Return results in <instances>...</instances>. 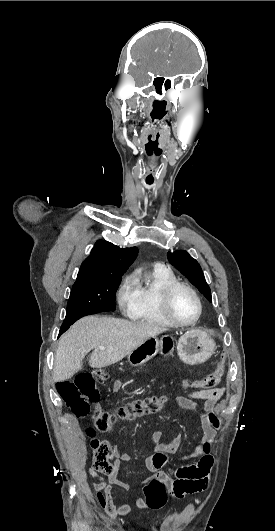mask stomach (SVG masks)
<instances>
[{
    "label": "stomach",
    "instance_id": "obj_1",
    "mask_svg": "<svg viewBox=\"0 0 275 531\" xmlns=\"http://www.w3.org/2000/svg\"><path fill=\"white\" fill-rule=\"evenodd\" d=\"M174 349L175 339L170 337V335H162L160 339L158 337H149L144 343L130 351L128 363L132 367H142L152 357H155L157 353L167 357V355H172ZM176 349L179 359L185 365H201V363H205L214 355L216 343L205 331L190 329V331H186L185 335L180 337Z\"/></svg>",
    "mask_w": 275,
    "mask_h": 531
}]
</instances>
